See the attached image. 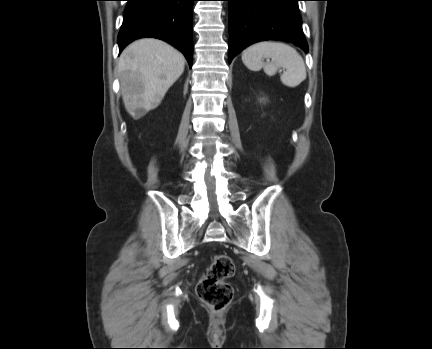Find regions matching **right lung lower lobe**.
Instances as JSON below:
<instances>
[{
    "instance_id": "98d812e1",
    "label": "right lung lower lobe",
    "mask_w": 432,
    "mask_h": 349,
    "mask_svg": "<svg viewBox=\"0 0 432 349\" xmlns=\"http://www.w3.org/2000/svg\"><path fill=\"white\" fill-rule=\"evenodd\" d=\"M118 35L119 52L130 42L154 37L179 49L192 66V8L195 0H127Z\"/></svg>"
}]
</instances>
